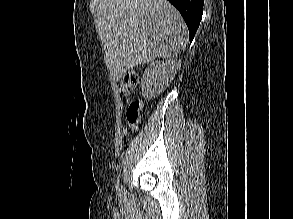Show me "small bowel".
Listing matches in <instances>:
<instances>
[{"instance_id": "small-bowel-1", "label": "small bowel", "mask_w": 293, "mask_h": 219, "mask_svg": "<svg viewBox=\"0 0 293 219\" xmlns=\"http://www.w3.org/2000/svg\"><path fill=\"white\" fill-rule=\"evenodd\" d=\"M128 129H129V128H125V129L123 130V134H124L125 136L128 134Z\"/></svg>"}]
</instances>
